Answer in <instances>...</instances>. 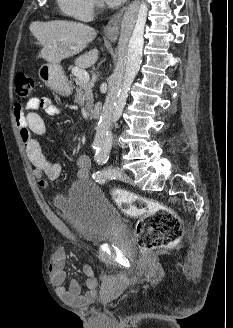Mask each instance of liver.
Returning <instances> with one entry per match:
<instances>
[{
	"mask_svg": "<svg viewBox=\"0 0 233 328\" xmlns=\"http://www.w3.org/2000/svg\"><path fill=\"white\" fill-rule=\"evenodd\" d=\"M30 30L42 46L38 58L49 63H60L80 53L97 35L88 25L63 20L35 22ZM98 55V50L92 49L80 55L75 64L82 69L88 68L96 63Z\"/></svg>",
	"mask_w": 233,
	"mask_h": 328,
	"instance_id": "6515ba94",
	"label": "liver"
}]
</instances>
